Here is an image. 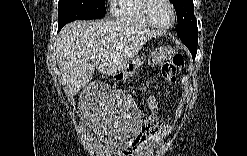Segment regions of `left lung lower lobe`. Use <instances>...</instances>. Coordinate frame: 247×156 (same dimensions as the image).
Wrapping results in <instances>:
<instances>
[{
    "label": "left lung lower lobe",
    "instance_id": "left-lung-lower-lobe-1",
    "mask_svg": "<svg viewBox=\"0 0 247 156\" xmlns=\"http://www.w3.org/2000/svg\"><path fill=\"white\" fill-rule=\"evenodd\" d=\"M197 40H198V35H197ZM187 46V45H186ZM190 50V52L192 53V57H193V60L195 59L196 57V53H197V48H192L190 46H187Z\"/></svg>",
    "mask_w": 247,
    "mask_h": 156
}]
</instances>
